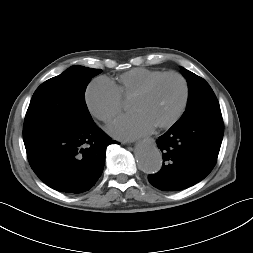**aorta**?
Listing matches in <instances>:
<instances>
[{
	"instance_id": "obj_1",
	"label": "aorta",
	"mask_w": 253,
	"mask_h": 253,
	"mask_svg": "<svg viewBox=\"0 0 253 253\" xmlns=\"http://www.w3.org/2000/svg\"><path fill=\"white\" fill-rule=\"evenodd\" d=\"M136 162L140 170L147 174H155L162 167V155L152 140H146L136 146Z\"/></svg>"
}]
</instances>
